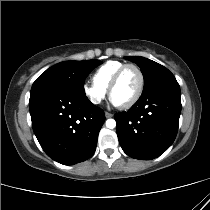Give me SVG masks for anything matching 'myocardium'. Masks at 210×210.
Instances as JSON below:
<instances>
[{
  "label": "myocardium",
  "instance_id": "myocardium-1",
  "mask_svg": "<svg viewBox=\"0 0 210 210\" xmlns=\"http://www.w3.org/2000/svg\"><path fill=\"white\" fill-rule=\"evenodd\" d=\"M127 68H133V69H135L138 72L139 77H140V84H139V88H138L135 96L130 101H128L127 103H124L122 105H117L120 109H129L132 106H134L140 100V98L142 97L144 89H145V75H144L142 69L136 64L126 63V64L122 65L116 71V73L114 74V76H113V78H112V80H111V82L109 84V87H108L109 97L111 98L114 88L117 86V84H118V82H119V80L121 78L122 73Z\"/></svg>",
  "mask_w": 210,
  "mask_h": 210
}]
</instances>
